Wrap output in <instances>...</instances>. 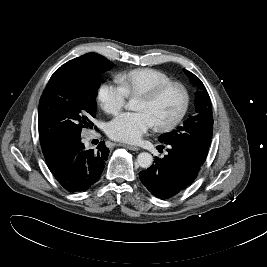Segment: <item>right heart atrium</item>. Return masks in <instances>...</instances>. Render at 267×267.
I'll list each match as a JSON object with an SVG mask.
<instances>
[{
    "label": "right heart atrium",
    "mask_w": 267,
    "mask_h": 267,
    "mask_svg": "<svg viewBox=\"0 0 267 267\" xmlns=\"http://www.w3.org/2000/svg\"><path fill=\"white\" fill-rule=\"evenodd\" d=\"M128 95L121 84L104 83L100 86L97 101L108 114H117L126 104Z\"/></svg>",
    "instance_id": "right-heart-atrium-1"
}]
</instances>
